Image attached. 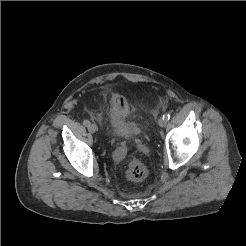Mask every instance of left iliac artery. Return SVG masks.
<instances>
[{"label":"left iliac artery","instance_id":"44dca946","mask_svg":"<svg viewBox=\"0 0 246 246\" xmlns=\"http://www.w3.org/2000/svg\"><path fill=\"white\" fill-rule=\"evenodd\" d=\"M163 119H165L166 121H168L170 119V114L169 113H165L163 115Z\"/></svg>","mask_w":246,"mask_h":246}]
</instances>
